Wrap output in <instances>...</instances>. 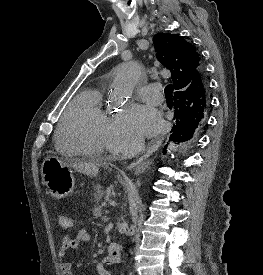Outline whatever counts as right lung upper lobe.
<instances>
[{
    "label": "right lung upper lobe",
    "mask_w": 263,
    "mask_h": 275,
    "mask_svg": "<svg viewBox=\"0 0 263 275\" xmlns=\"http://www.w3.org/2000/svg\"><path fill=\"white\" fill-rule=\"evenodd\" d=\"M157 59L171 71L175 93L184 95L183 105L206 116L209 108L208 84L199 76L201 58L195 47L178 34L158 33L154 38Z\"/></svg>",
    "instance_id": "1"
}]
</instances>
